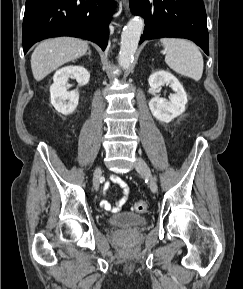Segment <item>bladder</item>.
<instances>
[{"instance_id": "bladder-1", "label": "bladder", "mask_w": 243, "mask_h": 289, "mask_svg": "<svg viewBox=\"0 0 243 289\" xmlns=\"http://www.w3.org/2000/svg\"><path fill=\"white\" fill-rule=\"evenodd\" d=\"M108 223L115 228L129 229L144 226L147 219L132 212H122L110 217Z\"/></svg>"}]
</instances>
